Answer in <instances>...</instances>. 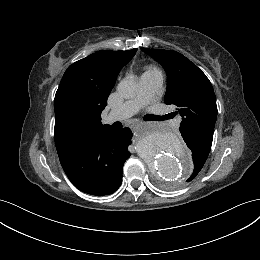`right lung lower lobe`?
<instances>
[{
    "label": "right lung lower lobe",
    "instance_id": "right-lung-lower-lobe-1",
    "mask_svg": "<svg viewBox=\"0 0 260 260\" xmlns=\"http://www.w3.org/2000/svg\"><path fill=\"white\" fill-rule=\"evenodd\" d=\"M132 135L129 128L86 135L58 154L62 168L80 191L95 196L112 194L122 183Z\"/></svg>",
    "mask_w": 260,
    "mask_h": 260
}]
</instances>
